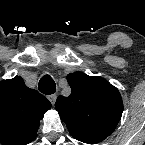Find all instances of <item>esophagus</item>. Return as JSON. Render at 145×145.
<instances>
[{"label":"esophagus","instance_id":"1","mask_svg":"<svg viewBox=\"0 0 145 145\" xmlns=\"http://www.w3.org/2000/svg\"><path fill=\"white\" fill-rule=\"evenodd\" d=\"M48 99L50 100L51 104L54 105L57 99V95L56 94H52L50 96H48Z\"/></svg>","mask_w":145,"mask_h":145}]
</instances>
